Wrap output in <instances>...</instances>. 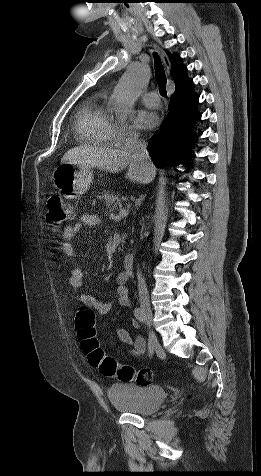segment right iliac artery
Instances as JSON below:
<instances>
[{
  "label": "right iliac artery",
  "instance_id": "1",
  "mask_svg": "<svg viewBox=\"0 0 261 476\" xmlns=\"http://www.w3.org/2000/svg\"><path fill=\"white\" fill-rule=\"evenodd\" d=\"M134 316L136 317V319L143 323L144 320H145V314H144V311L141 309V308H135L134 310ZM147 334L149 333L148 331L146 332ZM148 340H149V343H148V352H149V356H152L153 353H154V343H155V340L153 339L152 336H149L148 337Z\"/></svg>",
  "mask_w": 261,
  "mask_h": 476
}]
</instances>
